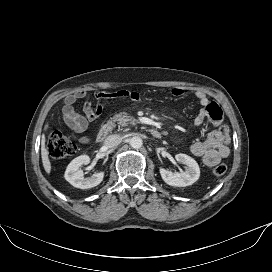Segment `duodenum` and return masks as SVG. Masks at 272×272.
Returning <instances> with one entry per match:
<instances>
[{"instance_id": "duodenum-1", "label": "duodenum", "mask_w": 272, "mask_h": 272, "mask_svg": "<svg viewBox=\"0 0 272 272\" xmlns=\"http://www.w3.org/2000/svg\"><path fill=\"white\" fill-rule=\"evenodd\" d=\"M111 131V125L110 124H105L104 126H102V128L99 130L98 134H97V141H102L105 139V137L109 134V132ZM150 134L155 137V138H161L162 137V133L155 128H151L149 130Z\"/></svg>"}]
</instances>
